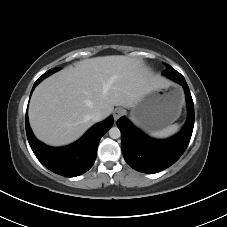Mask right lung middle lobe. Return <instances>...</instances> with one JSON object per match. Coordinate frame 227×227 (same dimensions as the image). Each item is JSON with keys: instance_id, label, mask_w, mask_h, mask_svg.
Segmentation results:
<instances>
[{"instance_id": "1", "label": "right lung middle lobe", "mask_w": 227, "mask_h": 227, "mask_svg": "<svg viewBox=\"0 0 227 227\" xmlns=\"http://www.w3.org/2000/svg\"><path fill=\"white\" fill-rule=\"evenodd\" d=\"M60 68H53V69H50L48 70L46 73H44L40 78L41 79H44L46 78L47 76L53 74L54 72L58 71Z\"/></svg>"}]
</instances>
